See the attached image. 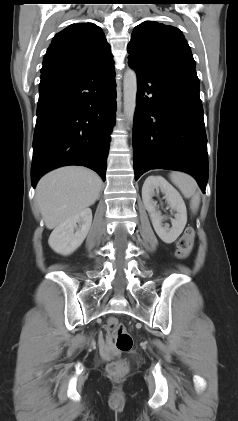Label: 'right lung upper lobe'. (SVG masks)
<instances>
[{
    "instance_id": "right-lung-upper-lobe-1",
    "label": "right lung upper lobe",
    "mask_w": 238,
    "mask_h": 421,
    "mask_svg": "<svg viewBox=\"0 0 238 421\" xmlns=\"http://www.w3.org/2000/svg\"><path fill=\"white\" fill-rule=\"evenodd\" d=\"M114 65L101 28L92 23L72 24L56 34L43 60L41 72L108 68Z\"/></svg>"
}]
</instances>
